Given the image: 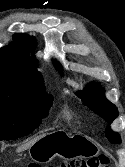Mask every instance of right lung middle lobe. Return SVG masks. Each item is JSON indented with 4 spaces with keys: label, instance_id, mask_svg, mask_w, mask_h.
Returning <instances> with one entry per match:
<instances>
[{
    "label": "right lung middle lobe",
    "instance_id": "obj_1",
    "mask_svg": "<svg viewBox=\"0 0 125 167\" xmlns=\"http://www.w3.org/2000/svg\"><path fill=\"white\" fill-rule=\"evenodd\" d=\"M53 104L46 92L32 97L0 94V140H11L30 134L39 126Z\"/></svg>",
    "mask_w": 125,
    "mask_h": 167
}]
</instances>
